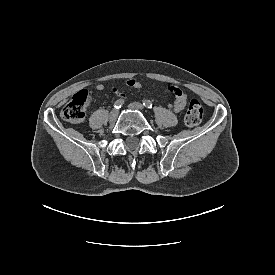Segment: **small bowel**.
Masks as SVG:
<instances>
[{"instance_id":"1","label":"small bowel","mask_w":275,"mask_h":275,"mask_svg":"<svg viewBox=\"0 0 275 275\" xmlns=\"http://www.w3.org/2000/svg\"><path fill=\"white\" fill-rule=\"evenodd\" d=\"M126 85L128 87L136 88V89L142 87V83L135 78H129L126 81ZM104 89H105V87L102 84H98L96 86V90H98V91H102ZM113 90H115V89H113ZM169 91L174 96V101L172 103H166V105L168 107L174 109V111H176V112H181L187 105L188 99H187L186 93L181 88H179L177 86H170ZM124 99H125V96L123 94H121L119 100H124Z\"/></svg>"}]
</instances>
